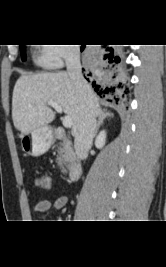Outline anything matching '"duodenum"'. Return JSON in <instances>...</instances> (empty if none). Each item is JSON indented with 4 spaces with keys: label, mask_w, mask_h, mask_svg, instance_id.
I'll return each instance as SVG.
<instances>
[{
    "label": "duodenum",
    "mask_w": 166,
    "mask_h": 267,
    "mask_svg": "<svg viewBox=\"0 0 166 267\" xmlns=\"http://www.w3.org/2000/svg\"><path fill=\"white\" fill-rule=\"evenodd\" d=\"M53 137L57 140L66 138V132L62 128H56L53 132ZM83 171V164L79 160H74L68 170V178L71 181L77 180Z\"/></svg>",
    "instance_id": "410a0bca"
}]
</instances>
